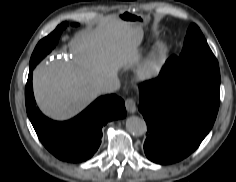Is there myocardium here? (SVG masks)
Returning a JSON list of instances; mask_svg holds the SVG:
<instances>
[{
    "mask_svg": "<svg viewBox=\"0 0 236 182\" xmlns=\"http://www.w3.org/2000/svg\"><path fill=\"white\" fill-rule=\"evenodd\" d=\"M160 51H161V47L158 49V52H157V54L155 55L154 59L157 58V56H158V54H159ZM149 66H150L149 63H148L147 65H145L144 70H147V69L149 68Z\"/></svg>",
    "mask_w": 236,
    "mask_h": 182,
    "instance_id": "obj_1",
    "label": "myocardium"
}]
</instances>
